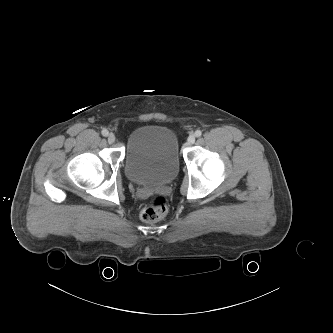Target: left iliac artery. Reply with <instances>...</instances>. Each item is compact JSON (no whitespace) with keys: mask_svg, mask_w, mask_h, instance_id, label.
<instances>
[{"mask_svg":"<svg viewBox=\"0 0 333 333\" xmlns=\"http://www.w3.org/2000/svg\"><path fill=\"white\" fill-rule=\"evenodd\" d=\"M201 135H202L201 130H196V131H195V136H196V137H200Z\"/></svg>","mask_w":333,"mask_h":333,"instance_id":"left-iliac-artery-1","label":"left iliac artery"}]
</instances>
